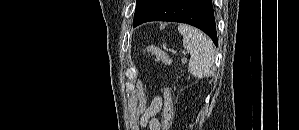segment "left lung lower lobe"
I'll return each mask as SVG.
<instances>
[{"label":"left lung lower lobe","mask_w":299,"mask_h":130,"mask_svg":"<svg viewBox=\"0 0 299 130\" xmlns=\"http://www.w3.org/2000/svg\"><path fill=\"white\" fill-rule=\"evenodd\" d=\"M155 20L193 25L204 31L217 46L216 25L211 0H150L147 15L133 26Z\"/></svg>","instance_id":"0a47b994"}]
</instances>
